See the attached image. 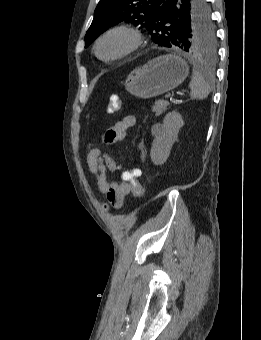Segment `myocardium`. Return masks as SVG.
Instances as JSON below:
<instances>
[{"instance_id":"f54148a6","label":"myocardium","mask_w":261,"mask_h":340,"mask_svg":"<svg viewBox=\"0 0 261 340\" xmlns=\"http://www.w3.org/2000/svg\"><path fill=\"white\" fill-rule=\"evenodd\" d=\"M115 33H121V34L126 35L130 41L129 46L124 51H122L121 53L117 55L104 58L99 53V46L106 37H108L111 34H115ZM142 43H143V35L138 28L131 26V25H127V24H119V25H115V26L108 28L97 38L95 45H94V51H95L96 56L100 60L104 62H113V61L122 59L130 55L131 53L136 51L142 45Z\"/></svg>"}]
</instances>
